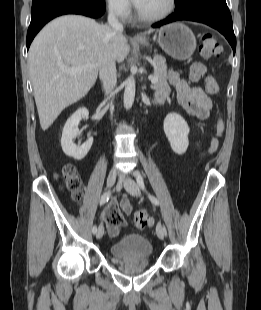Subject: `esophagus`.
Returning <instances> with one entry per match:
<instances>
[{"instance_id":"34e87169","label":"esophagus","mask_w":261,"mask_h":310,"mask_svg":"<svg viewBox=\"0 0 261 310\" xmlns=\"http://www.w3.org/2000/svg\"><path fill=\"white\" fill-rule=\"evenodd\" d=\"M135 38H136V39H142V35L136 34V35H135Z\"/></svg>"}]
</instances>
